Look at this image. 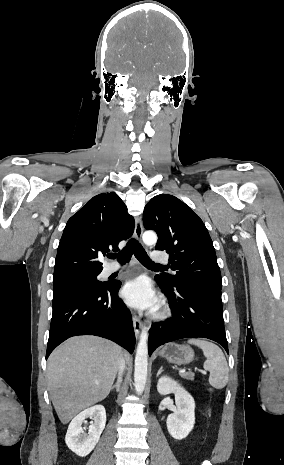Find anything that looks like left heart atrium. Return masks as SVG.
Listing matches in <instances>:
<instances>
[{
    "mask_svg": "<svg viewBox=\"0 0 284 465\" xmlns=\"http://www.w3.org/2000/svg\"><path fill=\"white\" fill-rule=\"evenodd\" d=\"M121 296L127 305L135 309H155L158 306V298L144 277L129 281L123 287Z\"/></svg>",
    "mask_w": 284,
    "mask_h": 465,
    "instance_id": "1",
    "label": "left heart atrium"
}]
</instances>
